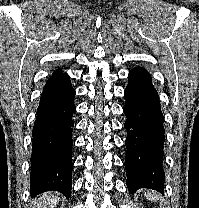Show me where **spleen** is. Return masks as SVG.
<instances>
[{"label":"spleen","mask_w":199,"mask_h":208,"mask_svg":"<svg viewBox=\"0 0 199 208\" xmlns=\"http://www.w3.org/2000/svg\"><path fill=\"white\" fill-rule=\"evenodd\" d=\"M145 196L149 199V200H154L155 199V193L153 191L151 192H147L145 193Z\"/></svg>","instance_id":"obj_1"}]
</instances>
